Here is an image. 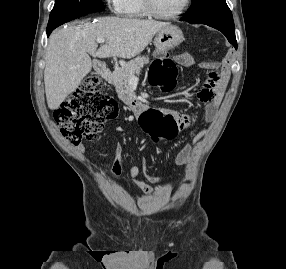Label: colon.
<instances>
[{"mask_svg": "<svg viewBox=\"0 0 286 269\" xmlns=\"http://www.w3.org/2000/svg\"><path fill=\"white\" fill-rule=\"evenodd\" d=\"M153 57L160 59L154 62L149 73V81L171 91L175 87L177 67L167 49H153ZM213 64V62H210ZM205 85L215 83L212 76L217 73V67L210 66L207 70ZM146 116H141V126H145L144 134H148L151 142H160L161 138L174 139L178 135L176 122L168 113H162L159 106L145 109ZM117 115L116 101L110 97L102 81L95 75L87 77L78 91L73 93L54 112L55 121L62 135L72 144L82 140H92L103 127L104 123ZM156 149V144H151Z\"/></svg>", "mask_w": 286, "mask_h": 269, "instance_id": "obj_1", "label": "colon"}]
</instances>
